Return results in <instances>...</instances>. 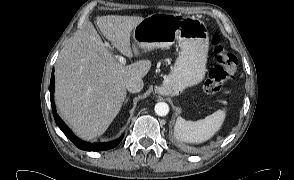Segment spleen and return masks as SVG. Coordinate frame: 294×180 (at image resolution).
Listing matches in <instances>:
<instances>
[{
  "instance_id": "1",
  "label": "spleen",
  "mask_w": 294,
  "mask_h": 180,
  "mask_svg": "<svg viewBox=\"0 0 294 180\" xmlns=\"http://www.w3.org/2000/svg\"><path fill=\"white\" fill-rule=\"evenodd\" d=\"M225 116V110H217L206 118L197 121H187L179 117L174 126V136L181 142L203 143L220 129Z\"/></svg>"
}]
</instances>
